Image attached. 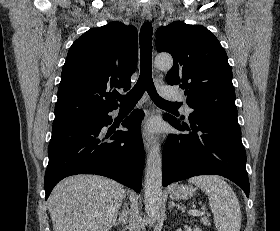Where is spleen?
Listing matches in <instances>:
<instances>
[{
    "label": "spleen",
    "instance_id": "3e777b00",
    "mask_svg": "<svg viewBox=\"0 0 280 231\" xmlns=\"http://www.w3.org/2000/svg\"><path fill=\"white\" fill-rule=\"evenodd\" d=\"M208 193L217 231H240L241 209L230 185L219 175H195L188 179Z\"/></svg>",
    "mask_w": 280,
    "mask_h": 231
}]
</instances>
